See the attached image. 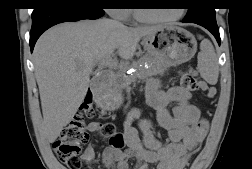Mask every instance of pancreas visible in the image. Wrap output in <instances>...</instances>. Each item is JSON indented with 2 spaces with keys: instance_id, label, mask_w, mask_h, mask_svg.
<instances>
[{
  "instance_id": "cf45deb5",
  "label": "pancreas",
  "mask_w": 252,
  "mask_h": 169,
  "mask_svg": "<svg viewBox=\"0 0 252 169\" xmlns=\"http://www.w3.org/2000/svg\"><path fill=\"white\" fill-rule=\"evenodd\" d=\"M155 59L151 58V57H143L141 60L138 61L137 63V68L138 70L132 74L131 76L126 77L125 79L128 80L129 82H134L137 79H148L150 78L152 75L158 73L155 70L154 67V61ZM148 63L150 65V68H145L144 64ZM159 63V62H158ZM139 64H141L142 66H139ZM160 65V63L158 64ZM125 70H121L119 72H117L112 79L109 80V86H112L113 84H115L117 82V80L119 79V77H121L124 74Z\"/></svg>"
}]
</instances>
